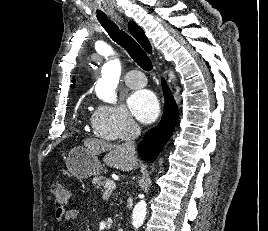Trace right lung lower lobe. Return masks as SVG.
I'll return each mask as SVG.
<instances>
[{
	"instance_id": "1",
	"label": "right lung lower lobe",
	"mask_w": 268,
	"mask_h": 231,
	"mask_svg": "<svg viewBox=\"0 0 268 231\" xmlns=\"http://www.w3.org/2000/svg\"><path fill=\"white\" fill-rule=\"evenodd\" d=\"M162 88L165 99L164 113L158 126L150 129L138 145V152L145 161L153 162L170 139L178 120L176 102L164 80Z\"/></svg>"
}]
</instances>
